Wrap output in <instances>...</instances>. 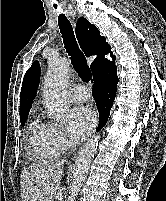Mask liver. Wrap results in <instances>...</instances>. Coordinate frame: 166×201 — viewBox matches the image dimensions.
<instances>
[{
	"instance_id": "1",
	"label": "liver",
	"mask_w": 166,
	"mask_h": 201,
	"mask_svg": "<svg viewBox=\"0 0 166 201\" xmlns=\"http://www.w3.org/2000/svg\"><path fill=\"white\" fill-rule=\"evenodd\" d=\"M63 161H42L22 171V201H53L60 186Z\"/></svg>"
}]
</instances>
